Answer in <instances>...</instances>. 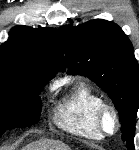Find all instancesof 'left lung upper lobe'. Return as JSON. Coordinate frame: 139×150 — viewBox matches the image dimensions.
<instances>
[{
	"label": "left lung upper lobe",
	"instance_id": "1",
	"mask_svg": "<svg viewBox=\"0 0 139 150\" xmlns=\"http://www.w3.org/2000/svg\"><path fill=\"white\" fill-rule=\"evenodd\" d=\"M70 74L88 76L112 99L119 112L122 140L134 146L139 108V66L128 37L102 19L59 29Z\"/></svg>",
	"mask_w": 139,
	"mask_h": 150
}]
</instances>
